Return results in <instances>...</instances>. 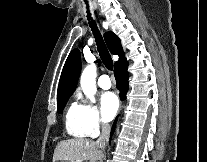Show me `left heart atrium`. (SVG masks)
I'll return each instance as SVG.
<instances>
[{
  "label": "left heart atrium",
  "instance_id": "1",
  "mask_svg": "<svg viewBox=\"0 0 207 162\" xmlns=\"http://www.w3.org/2000/svg\"><path fill=\"white\" fill-rule=\"evenodd\" d=\"M119 108V99L113 92H106L101 96L100 109L104 121H110Z\"/></svg>",
  "mask_w": 207,
  "mask_h": 162
}]
</instances>
